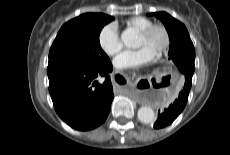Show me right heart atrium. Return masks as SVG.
I'll list each match as a JSON object with an SVG mask.
<instances>
[{"label":"right heart atrium","mask_w":230,"mask_h":155,"mask_svg":"<svg viewBox=\"0 0 230 155\" xmlns=\"http://www.w3.org/2000/svg\"><path fill=\"white\" fill-rule=\"evenodd\" d=\"M98 44L108 56H114L119 53L122 44L115 25L107 24L101 28L98 34Z\"/></svg>","instance_id":"obj_1"}]
</instances>
